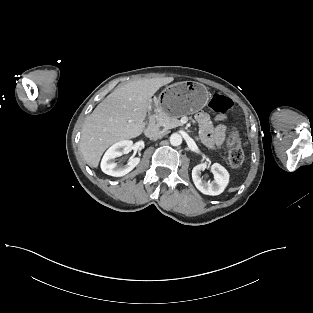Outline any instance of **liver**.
I'll list each match as a JSON object with an SVG mask.
<instances>
[{
	"instance_id": "1",
	"label": "liver",
	"mask_w": 313,
	"mask_h": 313,
	"mask_svg": "<svg viewBox=\"0 0 313 313\" xmlns=\"http://www.w3.org/2000/svg\"><path fill=\"white\" fill-rule=\"evenodd\" d=\"M173 80V77H161L132 81L115 89L98 104L82 128L79 147L86 163L97 168L109 146L141 135L152 97Z\"/></svg>"
}]
</instances>
